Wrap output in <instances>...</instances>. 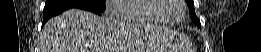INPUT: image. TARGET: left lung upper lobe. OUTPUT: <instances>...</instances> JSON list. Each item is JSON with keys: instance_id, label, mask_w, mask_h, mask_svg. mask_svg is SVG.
I'll use <instances>...</instances> for the list:
<instances>
[{"instance_id": "5c2ea615", "label": "left lung upper lobe", "mask_w": 261, "mask_h": 52, "mask_svg": "<svg viewBox=\"0 0 261 52\" xmlns=\"http://www.w3.org/2000/svg\"><path fill=\"white\" fill-rule=\"evenodd\" d=\"M187 5L189 7V11L191 14V19L193 20V22L201 28V23L200 20L197 18L196 14H195V9H194V2L193 0H186Z\"/></svg>"}]
</instances>
